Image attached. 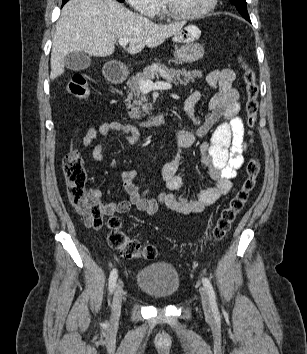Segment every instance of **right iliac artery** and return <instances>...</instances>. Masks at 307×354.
I'll return each mask as SVG.
<instances>
[{"mask_svg": "<svg viewBox=\"0 0 307 354\" xmlns=\"http://www.w3.org/2000/svg\"><path fill=\"white\" fill-rule=\"evenodd\" d=\"M117 277H118L117 270L113 269L110 273V276H109V292H110V294L113 292V290L116 286Z\"/></svg>", "mask_w": 307, "mask_h": 354, "instance_id": "82829eb1", "label": "right iliac artery"}]
</instances>
